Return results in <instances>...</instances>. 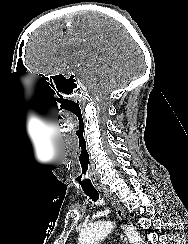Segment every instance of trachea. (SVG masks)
Returning a JSON list of instances; mask_svg holds the SVG:
<instances>
[{
    "instance_id": "1",
    "label": "trachea",
    "mask_w": 188,
    "mask_h": 244,
    "mask_svg": "<svg viewBox=\"0 0 188 244\" xmlns=\"http://www.w3.org/2000/svg\"><path fill=\"white\" fill-rule=\"evenodd\" d=\"M96 184L95 180H80L81 188L85 194L94 202L99 200V193L97 192V188H94Z\"/></svg>"
}]
</instances>
